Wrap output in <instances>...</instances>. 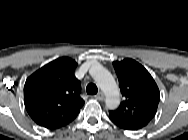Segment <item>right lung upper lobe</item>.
<instances>
[{"label":"right lung upper lobe","instance_id":"obj_1","mask_svg":"<svg viewBox=\"0 0 188 140\" xmlns=\"http://www.w3.org/2000/svg\"><path fill=\"white\" fill-rule=\"evenodd\" d=\"M74 62L59 58L43 67L24 89L25 104L32 119L46 128L71 122L84 104L80 83L73 75Z\"/></svg>","mask_w":188,"mask_h":140}]
</instances>
